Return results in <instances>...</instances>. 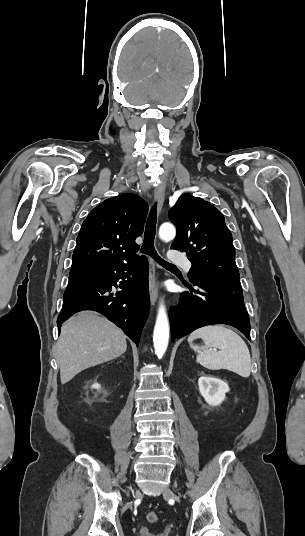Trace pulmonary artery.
I'll use <instances>...</instances> for the list:
<instances>
[{
	"label": "pulmonary artery",
	"instance_id": "e3ab8cb5",
	"mask_svg": "<svg viewBox=\"0 0 305 536\" xmlns=\"http://www.w3.org/2000/svg\"><path fill=\"white\" fill-rule=\"evenodd\" d=\"M169 253L171 254L169 257V254H166V257H169V260L173 264H181L186 270H190L192 267V263L189 260H186V257L182 253H176V250L174 248H170Z\"/></svg>",
	"mask_w": 305,
	"mask_h": 536
}]
</instances>
